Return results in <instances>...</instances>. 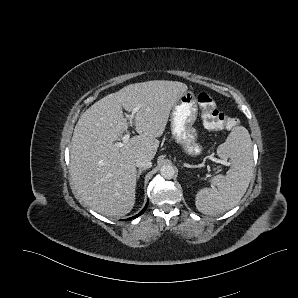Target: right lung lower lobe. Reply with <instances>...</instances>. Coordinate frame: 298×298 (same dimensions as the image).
<instances>
[{
    "label": "right lung lower lobe",
    "mask_w": 298,
    "mask_h": 298,
    "mask_svg": "<svg viewBox=\"0 0 298 298\" xmlns=\"http://www.w3.org/2000/svg\"><path fill=\"white\" fill-rule=\"evenodd\" d=\"M147 206H148V202H147L146 206L143 208V210L139 214L133 216L132 218H136V217L140 216L142 213H144V211L146 210Z\"/></svg>",
    "instance_id": "98d812e1"
}]
</instances>
